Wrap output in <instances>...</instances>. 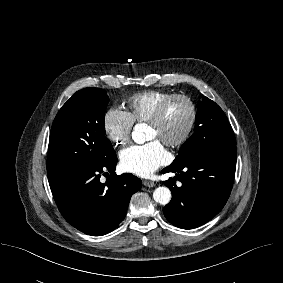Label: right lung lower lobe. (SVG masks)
<instances>
[{"instance_id":"98d812e1","label":"right lung lower lobe","mask_w":283,"mask_h":283,"mask_svg":"<svg viewBox=\"0 0 283 283\" xmlns=\"http://www.w3.org/2000/svg\"><path fill=\"white\" fill-rule=\"evenodd\" d=\"M116 163L114 153L99 165L49 182L62 216L85 234L101 236L113 231L125 217L131 196L141 188L136 176L116 175ZM107 171L111 174L102 183L101 174Z\"/></svg>"}]
</instances>
